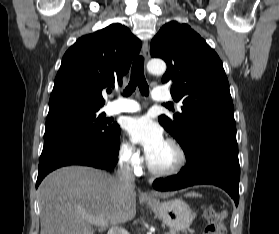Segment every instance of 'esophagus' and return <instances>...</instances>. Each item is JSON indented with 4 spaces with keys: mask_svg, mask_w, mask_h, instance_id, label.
Wrapping results in <instances>:
<instances>
[{
    "mask_svg": "<svg viewBox=\"0 0 279 234\" xmlns=\"http://www.w3.org/2000/svg\"><path fill=\"white\" fill-rule=\"evenodd\" d=\"M142 51H143V55L145 57V60L147 61L150 57V52H149V45H148V42L145 41L142 45ZM147 197V195H146Z\"/></svg>",
    "mask_w": 279,
    "mask_h": 234,
    "instance_id": "esophagus-1",
    "label": "esophagus"
}]
</instances>
